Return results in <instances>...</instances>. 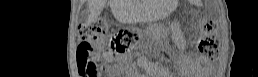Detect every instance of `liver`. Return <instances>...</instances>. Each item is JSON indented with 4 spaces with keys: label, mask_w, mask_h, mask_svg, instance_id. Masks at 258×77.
<instances>
[{
    "label": "liver",
    "mask_w": 258,
    "mask_h": 77,
    "mask_svg": "<svg viewBox=\"0 0 258 77\" xmlns=\"http://www.w3.org/2000/svg\"><path fill=\"white\" fill-rule=\"evenodd\" d=\"M107 0H88L89 17L88 21H95L103 11ZM111 10L115 18L120 22H129L132 20L134 7L131 1L110 0Z\"/></svg>",
    "instance_id": "1"
}]
</instances>
